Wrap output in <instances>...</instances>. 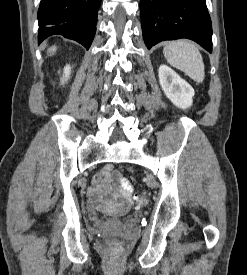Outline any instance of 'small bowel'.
I'll list each match as a JSON object with an SVG mask.
<instances>
[{"label":"small bowel","instance_id":"c3829d8e","mask_svg":"<svg viewBox=\"0 0 247 275\" xmlns=\"http://www.w3.org/2000/svg\"><path fill=\"white\" fill-rule=\"evenodd\" d=\"M103 179L94 180L88 188L91 201L99 208L126 210L132 205V186L119 173L112 174V166L103 169Z\"/></svg>","mask_w":247,"mask_h":275}]
</instances>
